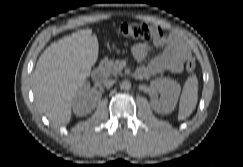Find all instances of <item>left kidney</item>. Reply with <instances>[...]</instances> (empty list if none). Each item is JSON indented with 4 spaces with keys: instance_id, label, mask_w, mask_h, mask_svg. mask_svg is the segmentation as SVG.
I'll list each match as a JSON object with an SVG mask.
<instances>
[{
    "instance_id": "left-kidney-1",
    "label": "left kidney",
    "mask_w": 243,
    "mask_h": 167,
    "mask_svg": "<svg viewBox=\"0 0 243 167\" xmlns=\"http://www.w3.org/2000/svg\"><path fill=\"white\" fill-rule=\"evenodd\" d=\"M151 88L160 92L161 98L159 100H152L151 107L157 113H170L174 110L178 97L180 94V85L169 78H160L151 81Z\"/></svg>"
}]
</instances>
